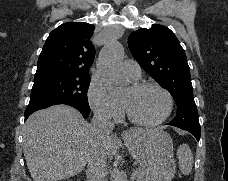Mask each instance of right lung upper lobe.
<instances>
[{
    "label": "right lung upper lobe",
    "instance_id": "cb5924a9",
    "mask_svg": "<svg viewBox=\"0 0 228 181\" xmlns=\"http://www.w3.org/2000/svg\"><path fill=\"white\" fill-rule=\"evenodd\" d=\"M94 29L85 22H66L53 30L40 53L35 77H90L88 69L95 57V48L90 43Z\"/></svg>",
    "mask_w": 228,
    "mask_h": 181
}]
</instances>
